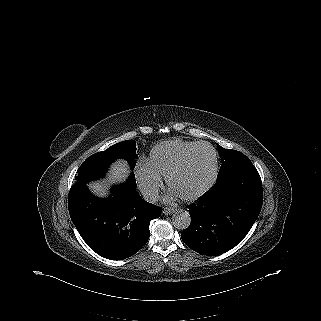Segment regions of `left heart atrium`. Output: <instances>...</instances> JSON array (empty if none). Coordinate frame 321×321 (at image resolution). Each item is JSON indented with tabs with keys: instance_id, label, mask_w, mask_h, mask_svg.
Listing matches in <instances>:
<instances>
[{
	"instance_id": "obj_1",
	"label": "left heart atrium",
	"mask_w": 321,
	"mask_h": 321,
	"mask_svg": "<svg viewBox=\"0 0 321 321\" xmlns=\"http://www.w3.org/2000/svg\"><path fill=\"white\" fill-rule=\"evenodd\" d=\"M176 196H178L176 193H174L173 191L172 192H170V194H169V197L170 198H174V197H176Z\"/></svg>"
}]
</instances>
